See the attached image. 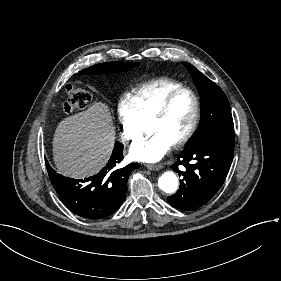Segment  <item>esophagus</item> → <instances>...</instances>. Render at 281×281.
Segmentation results:
<instances>
[{"label": "esophagus", "mask_w": 281, "mask_h": 281, "mask_svg": "<svg viewBox=\"0 0 281 281\" xmlns=\"http://www.w3.org/2000/svg\"><path fill=\"white\" fill-rule=\"evenodd\" d=\"M147 168L149 169V170H154V171H158V170H160L161 168H162V165H147Z\"/></svg>", "instance_id": "34e87169"}]
</instances>
